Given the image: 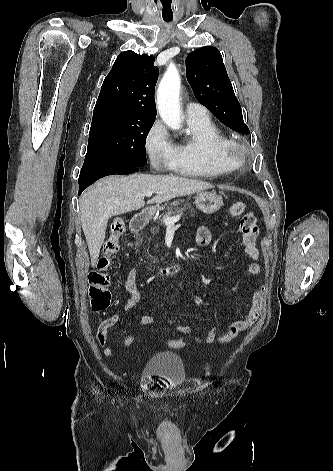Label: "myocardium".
<instances>
[{"label": "myocardium", "mask_w": 333, "mask_h": 471, "mask_svg": "<svg viewBox=\"0 0 333 471\" xmlns=\"http://www.w3.org/2000/svg\"><path fill=\"white\" fill-rule=\"evenodd\" d=\"M225 157L233 165H240L245 160V147L234 140H229L224 150Z\"/></svg>", "instance_id": "1"}]
</instances>
